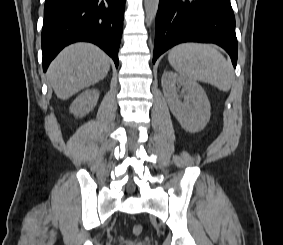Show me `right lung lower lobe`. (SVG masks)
I'll return each mask as SVG.
<instances>
[{
	"label": "right lung lower lobe",
	"instance_id": "98d812e1",
	"mask_svg": "<svg viewBox=\"0 0 283 245\" xmlns=\"http://www.w3.org/2000/svg\"><path fill=\"white\" fill-rule=\"evenodd\" d=\"M126 0H46L42 29L43 70L65 46L92 42L118 66Z\"/></svg>",
	"mask_w": 283,
	"mask_h": 245
}]
</instances>
